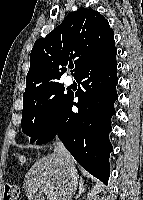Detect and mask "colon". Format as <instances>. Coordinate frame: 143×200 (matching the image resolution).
I'll use <instances>...</instances> for the list:
<instances>
[{"instance_id": "colon-1", "label": "colon", "mask_w": 143, "mask_h": 200, "mask_svg": "<svg viewBox=\"0 0 143 200\" xmlns=\"http://www.w3.org/2000/svg\"><path fill=\"white\" fill-rule=\"evenodd\" d=\"M23 159V157H20ZM19 197V189L14 184H6L4 191V200H18Z\"/></svg>"}]
</instances>
